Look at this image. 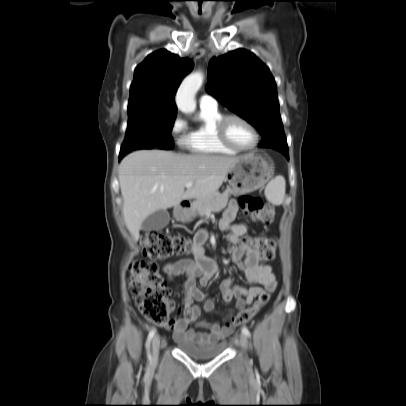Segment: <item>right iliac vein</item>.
<instances>
[{"label":"right iliac vein","instance_id":"obj_1","mask_svg":"<svg viewBox=\"0 0 406 406\" xmlns=\"http://www.w3.org/2000/svg\"><path fill=\"white\" fill-rule=\"evenodd\" d=\"M161 341L160 337L156 335L152 341V361L155 362L159 355Z\"/></svg>","mask_w":406,"mask_h":406}]
</instances>
